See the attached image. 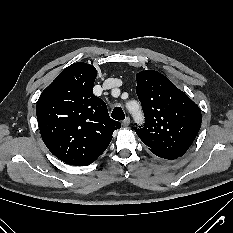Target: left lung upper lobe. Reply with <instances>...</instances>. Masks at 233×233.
I'll return each mask as SVG.
<instances>
[{
  "instance_id": "5c2ea615",
  "label": "left lung upper lobe",
  "mask_w": 233,
  "mask_h": 233,
  "mask_svg": "<svg viewBox=\"0 0 233 233\" xmlns=\"http://www.w3.org/2000/svg\"><path fill=\"white\" fill-rule=\"evenodd\" d=\"M136 79V93L145 115L144 126L136 128L137 135L150 150L182 156L201 127L200 108L157 71H141Z\"/></svg>"
}]
</instances>
